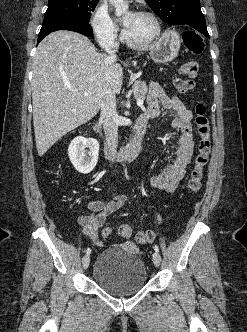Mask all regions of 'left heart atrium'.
Instances as JSON below:
<instances>
[{
  "label": "left heart atrium",
  "instance_id": "obj_1",
  "mask_svg": "<svg viewBox=\"0 0 247 332\" xmlns=\"http://www.w3.org/2000/svg\"><path fill=\"white\" fill-rule=\"evenodd\" d=\"M133 13H128L123 19H122V24L125 28H127L131 21H132V18H133Z\"/></svg>",
  "mask_w": 247,
  "mask_h": 332
}]
</instances>
